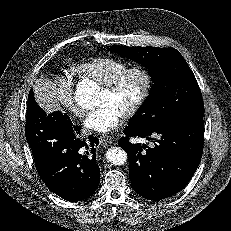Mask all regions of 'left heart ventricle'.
<instances>
[{
	"label": "left heart ventricle",
	"mask_w": 231,
	"mask_h": 231,
	"mask_svg": "<svg viewBox=\"0 0 231 231\" xmlns=\"http://www.w3.org/2000/svg\"><path fill=\"white\" fill-rule=\"evenodd\" d=\"M143 77L139 73H131L121 82L115 92H108L102 88L99 104L112 102L123 112L137 98L142 90Z\"/></svg>",
	"instance_id": "left-heart-ventricle-1"
}]
</instances>
